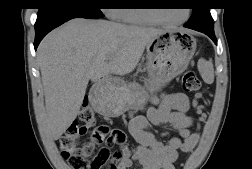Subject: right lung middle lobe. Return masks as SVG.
I'll return each mask as SVG.
<instances>
[{
    "label": "right lung middle lobe",
    "instance_id": "obj_1",
    "mask_svg": "<svg viewBox=\"0 0 252 169\" xmlns=\"http://www.w3.org/2000/svg\"><path fill=\"white\" fill-rule=\"evenodd\" d=\"M102 0H43L40 3L37 19L53 13L80 11L96 17H104L101 12Z\"/></svg>",
    "mask_w": 252,
    "mask_h": 169
}]
</instances>
